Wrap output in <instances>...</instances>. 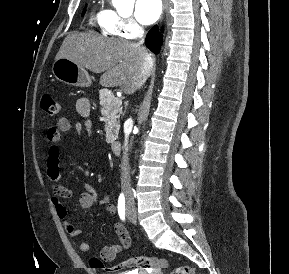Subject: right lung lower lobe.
Wrapping results in <instances>:
<instances>
[{
    "label": "right lung lower lobe",
    "instance_id": "98d812e1",
    "mask_svg": "<svg viewBox=\"0 0 289 274\" xmlns=\"http://www.w3.org/2000/svg\"><path fill=\"white\" fill-rule=\"evenodd\" d=\"M162 43V35L158 27L154 26L147 34L145 39L146 46L154 53H158Z\"/></svg>",
    "mask_w": 289,
    "mask_h": 274
}]
</instances>
